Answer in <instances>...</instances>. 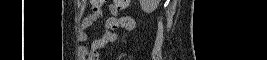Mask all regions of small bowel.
<instances>
[{
    "instance_id": "small-bowel-1",
    "label": "small bowel",
    "mask_w": 267,
    "mask_h": 60,
    "mask_svg": "<svg viewBox=\"0 0 267 60\" xmlns=\"http://www.w3.org/2000/svg\"><path fill=\"white\" fill-rule=\"evenodd\" d=\"M128 4V3H127ZM127 4L119 7L117 4H104L103 7L107 8L113 15L106 20L105 31L104 33L94 39L87 47L84 48V52L91 56H96L99 51L104 48L107 44L118 41L119 35L116 33L110 23L112 21H120L123 23V27L127 30L132 29L133 20L126 16H121L120 11L127 6ZM102 15V9H99L97 12L86 16L82 21V28L80 30V39L86 40L88 37V28L96 22Z\"/></svg>"
}]
</instances>
